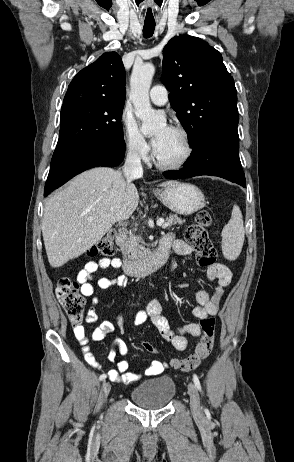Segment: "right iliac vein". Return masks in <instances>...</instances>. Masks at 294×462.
Returning <instances> with one entry per match:
<instances>
[{
  "label": "right iliac vein",
  "mask_w": 294,
  "mask_h": 462,
  "mask_svg": "<svg viewBox=\"0 0 294 462\" xmlns=\"http://www.w3.org/2000/svg\"><path fill=\"white\" fill-rule=\"evenodd\" d=\"M102 390L105 396H107L111 390V385L107 382H103Z\"/></svg>",
  "instance_id": "right-iliac-vein-1"
}]
</instances>
